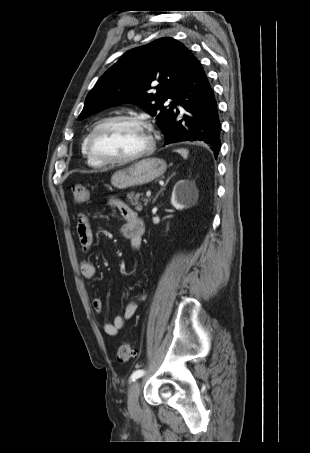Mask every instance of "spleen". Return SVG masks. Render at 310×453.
I'll return each instance as SVG.
<instances>
[{"instance_id":"1","label":"spleen","mask_w":310,"mask_h":453,"mask_svg":"<svg viewBox=\"0 0 310 453\" xmlns=\"http://www.w3.org/2000/svg\"><path fill=\"white\" fill-rule=\"evenodd\" d=\"M176 152H178L179 154H181V156L183 158H187L188 157V150L186 149H177Z\"/></svg>"}]
</instances>
